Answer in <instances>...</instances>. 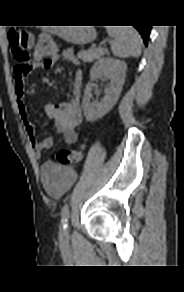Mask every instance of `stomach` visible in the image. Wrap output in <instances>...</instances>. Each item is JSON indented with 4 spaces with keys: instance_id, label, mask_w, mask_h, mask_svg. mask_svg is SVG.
Returning a JSON list of instances; mask_svg holds the SVG:
<instances>
[{
    "instance_id": "stomach-1",
    "label": "stomach",
    "mask_w": 184,
    "mask_h": 292,
    "mask_svg": "<svg viewBox=\"0 0 184 292\" xmlns=\"http://www.w3.org/2000/svg\"><path fill=\"white\" fill-rule=\"evenodd\" d=\"M59 37L73 44H84L96 38V32L89 27L60 26L56 29Z\"/></svg>"
}]
</instances>
